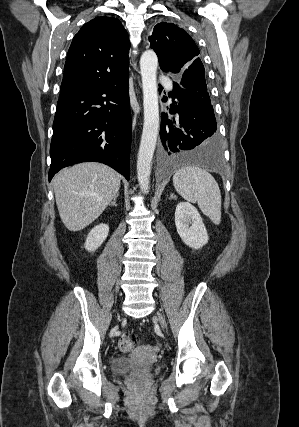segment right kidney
<instances>
[{
  "label": "right kidney",
  "instance_id": "ca27d5eb",
  "mask_svg": "<svg viewBox=\"0 0 299 427\" xmlns=\"http://www.w3.org/2000/svg\"><path fill=\"white\" fill-rule=\"evenodd\" d=\"M109 233V226L101 223L95 226L88 234L85 241V249L89 252L96 251L105 241Z\"/></svg>",
  "mask_w": 299,
  "mask_h": 427
}]
</instances>
